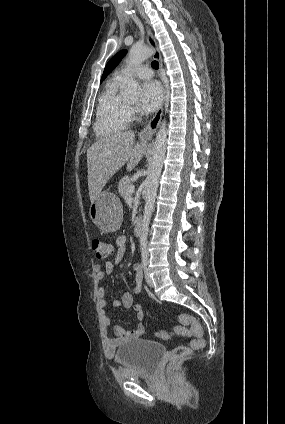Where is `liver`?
Returning <instances> with one entry per match:
<instances>
[{"instance_id": "1", "label": "liver", "mask_w": 285, "mask_h": 424, "mask_svg": "<svg viewBox=\"0 0 285 424\" xmlns=\"http://www.w3.org/2000/svg\"><path fill=\"white\" fill-rule=\"evenodd\" d=\"M144 140L135 143L133 131L105 135L87 150L88 190L93 202L109 179L127 163L131 171L145 153Z\"/></svg>"}]
</instances>
